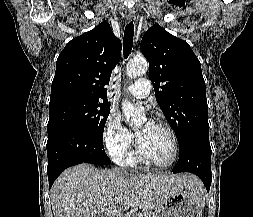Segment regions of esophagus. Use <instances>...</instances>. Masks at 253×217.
Masks as SVG:
<instances>
[{"mask_svg": "<svg viewBox=\"0 0 253 217\" xmlns=\"http://www.w3.org/2000/svg\"><path fill=\"white\" fill-rule=\"evenodd\" d=\"M126 19H127V21L134 20L135 19V11H133V10L128 11L126 14Z\"/></svg>", "mask_w": 253, "mask_h": 217, "instance_id": "1", "label": "esophagus"}]
</instances>
